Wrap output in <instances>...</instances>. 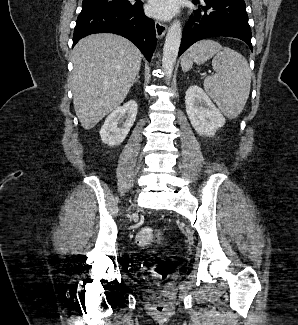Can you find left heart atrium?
Listing matches in <instances>:
<instances>
[{"mask_svg": "<svg viewBox=\"0 0 298 325\" xmlns=\"http://www.w3.org/2000/svg\"><path fill=\"white\" fill-rule=\"evenodd\" d=\"M177 9L175 0H153L148 5V12L157 18L167 19L171 17Z\"/></svg>", "mask_w": 298, "mask_h": 325, "instance_id": "obj_1", "label": "left heart atrium"}]
</instances>
